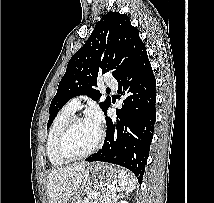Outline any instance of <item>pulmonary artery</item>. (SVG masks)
Here are the masks:
<instances>
[{"instance_id":"e3ab8cb5","label":"pulmonary artery","mask_w":214,"mask_h":203,"mask_svg":"<svg viewBox=\"0 0 214 203\" xmlns=\"http://www.w3.org/2000/svg\"><path fill=\"white\" fill-rule=\"evenodd\" d=\"M104 84H105L106 86H108L109 88L114 89V90L117 89V86H118V83H117V81H116L114 78H107V79H105ZM67 105H68L71 109H73V110L76 111V109L79 108L80 99H79V98H73V99H71V100L68 102Z\"/></svg>"}]
</instances>
